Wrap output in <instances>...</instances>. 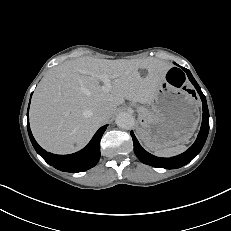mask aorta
<instances>
[{
  "mask_svg": "<svg viewBox=\"0 0 231 231\" xmlns=\"http://www.w3.org/2000/svg\"><path fill=\"white\" fill-rule=\"evenodd\" d=\"M118 127L129 130L134 126V118L129 113H119L115 120Z\"/></svg>",
  "mask_w": 231,
  "mask_h": 231,
  "instance_id": "762f6f07",
  "label": "aorta"
}]
</instances>
